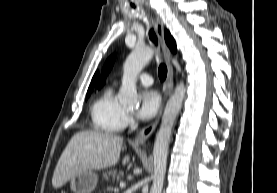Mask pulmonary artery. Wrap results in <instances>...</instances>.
<instances>
[{
    "label": "pulmonary artery",
    "instance_id": "obj_1",
    "mask_svg": "<svg viewBox=\"0 0 277 193\" xmlns=\"http://www.w3.org/2000/svg\"><path fill=\"white\" fill-rule=\"evenodd\" d=\"M138 79L145 86H150L153 83L152 77L149 74H146V73L140 74Z\"/></svg>",
    "mask_w": 277,
    "mask_h": 193
}]
</instances>
